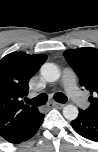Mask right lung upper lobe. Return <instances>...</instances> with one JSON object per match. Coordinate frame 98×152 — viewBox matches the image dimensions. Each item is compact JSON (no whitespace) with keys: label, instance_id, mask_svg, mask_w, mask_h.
Returning a JSON list of instances; mask_svg holds the SVG:
<instances>
[{"label":"right lung upper lobe","instance_id":"obj_1","mask_svg":"<svg viewBox=\"0 0 98 152\" xmlns=\"http://www.w3.org/2000/svg\"><path fill=\"white\" fill-rule=\"evenodd\" d=\"M45 54L28 55L13 52L0 61V136L18 128L38 112L24 104L28 82L46 61Z\"/></svg>","mask_w":98,"mask_h":152}]
</instances>
